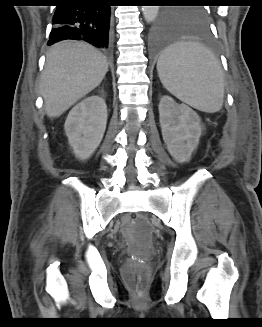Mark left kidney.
I'll use <instances>...</instances> for the list:
<instances>
[{
    "instance_id": "5707ae66",
    "label": "left kidney",
    "mask_w": 262,
    "mask_h": 327,
    "mask_svg": "<svg viewBox=\"0 0 262 327\" xmlns=\"http://www.w3.org/2000/svg\"><path fill=\"white\" fill-rule=\"evenodd\" d=\"M162 136L168 152L178 163L188 162L199 144L202 125L198 114L164 95L159 104Z\"/></svg>"
}]
</instances>
